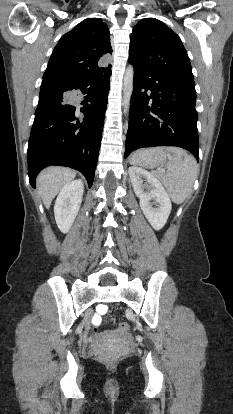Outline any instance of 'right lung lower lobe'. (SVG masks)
Listing matches in <instances>:
<instances>
[{"label":"right lung lower lobe","instance_id":"1","mask_svg":"<svg viewBox=\"0 0 233 414\" xmlns=\"http://www.w3.org/2000/svg\"><path fill=\"white\" fill-rule=\"evenodd\" d=\"M110 75L111 68L96 76L42 81L27 151L28 175L33 187L37 174L49 165L79 170L92 185ZM81 95H85L83 100Z\"/></svg>","mask_w":233,"mask_h":414}]
</instances>
